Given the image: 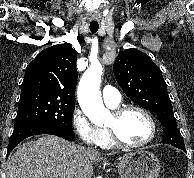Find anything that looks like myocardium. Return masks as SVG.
Segmentation results:
<instances>
[{
  "label": "myocardium",
  "instance_id": "obj_1",
  "mask_svg": "<svg viewBox=\"0 0 194 178\" xmlns=\"http://www.w3.org/2000/svg\"><path fill=\"white\" fill-rule=\"evenodd\" d=\"M138 111L145 115V117L148 119L150 126H151V134L148 139L141 143H128L124 141L116 128V126H106V129L109 133V136L115 146L122 147V148H129V149H134V148H141L144 146H147L150 144L157 136V124L156 121L153 117V115L148 111L146 108L138 106V105H125L121 107H117L113 110L112 115L116 119V121L120 120L126 113L129 111Z\"/></svg>",
  "mask_w": 194,
  "mask_h": 178
}]
</instances>
